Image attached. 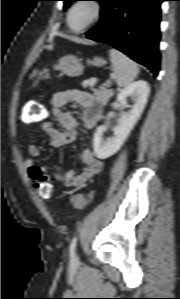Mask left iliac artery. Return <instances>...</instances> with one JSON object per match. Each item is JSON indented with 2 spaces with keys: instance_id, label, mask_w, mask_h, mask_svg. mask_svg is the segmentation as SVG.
<instances>
[{
  "instance_id": "1",
  "label": "left iliac artery",
  "mask_w": 180,
  "mask_h": 299,
  "mask_svg": "<svg viewBox=\"0 0 180 299\" xmlns=\"http://www.w3.org/2000/svg\"><path fill=\"white\" fill-rule=\"evenodd\" d=\"M76 242H77V237H74L72 239V242L70 244V247H69V252H70V255L72 256L73 253H74V250H75V247H76Z\"/></svg>"
}]
</instances>
